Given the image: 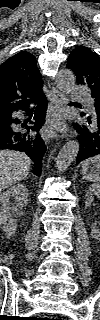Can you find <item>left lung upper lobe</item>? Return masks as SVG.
<instances>
[{
  "instance_id": "left-lung-upper-lobe-1",
  "label": "left lung upper lobe",
  "mask_w": 100,
  "mask_h": 320,
  "mask_svg": "<svg viewBox=\"0 0 100 320\" xmlns=\"http://www.w3.org/2000/svg\"><path fill=\"white\" fill-rule=\"evenodd\" d=\"M67 67L72 69L79 84L87 85L95 100V114L100 112V58L89 48H75L68 57Z\"/></svg>"
}]
</instances>
